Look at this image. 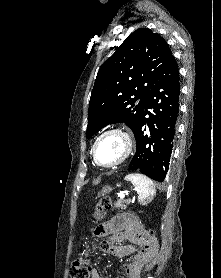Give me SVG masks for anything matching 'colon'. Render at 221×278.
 <instances>
[{"label": "colon", "instance_id": "colon-1", "mask_svg": "<svg viewBox=\"0 0 221 278\" xmlns=\"http://www.w3.org/2000/svg\"><path fill=\"white\" fill-rule=\"evenodd\" d=\"M112 208V201L109 197L100 199L96 206L95 219L96 221L104 224L106 211ZM107 243L103 242L102 248H106ZM91 265L89 257L83 253L80 257L76 258L70 267V278H91Z\"/></svg>", "mask_w": 221, "mask_h": 278}]
</instances>
